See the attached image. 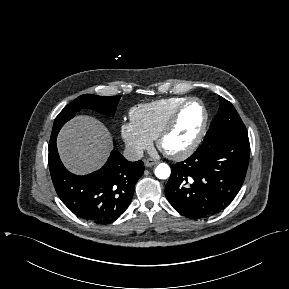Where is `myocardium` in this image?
Here are the masks:
<instances>
[{
  "mask_svg": "<svg viewBox=\"0 0 289 289\" xmlns=\"http://www.w3.org/2000/svg\"><path fill=\"white\" fill-rule=\"evenodd\" d=\"M193 102L198 103L200 105V107L202 108V111H203V121H202V124H201V127H200L198 134L196 135L194 140L187 147H185L181 150H178V151L166 150L164 148V145H163L165 139L175 129V127L179 121V118H180L183 110L185 109V107L188 104L193 103ZM208 122H209V113H208V110H207L205 104L203 103V101L200 100L199 98H196V97H189V98L185 99L177 107V109L174 111V113L171 115V117L169 118V120L167 121L165 126L162 128V130L158 134V136L156 138L157 146L166 156H168L172 159H176V160L185 159V158L189 157L190 155H192L197 150V148L200 146V144L202 143L204 136L206 134V131H207Z\"/></svg>",
  "mask_w": 289,
  "mask_h": 289,
  "instance_id": "1",
  "label": "myocardium"
}]
</instances>
